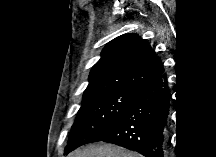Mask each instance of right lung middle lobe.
Segmentation results:
<instances>
[{
    "mask_svg": "<svg viewBox=\"0 0 216 157\" xmlns=\"http://www.w3.org/2000/svg\"><path fill=\"white\" fill-rule=\"evenodd\" d=\"M133 89L119 88L82 99L64 153L93 142L122 115Z\"/></svg>",
    "mask_w": 216,
    "mask_h": 157,
    "instance_id": "1",
    "label": "right lung middle lobe"
}]
</instances>
